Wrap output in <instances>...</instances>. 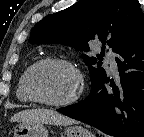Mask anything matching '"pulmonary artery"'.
I'll list each match as a JSON object with an SVG mask.
<instances>
[{
	"mask_svg": "<svg viewBox=\"0 0 144 137\" xmlns=\"http://www.w3.org/2000/svg\"><path fill=\"white\" fill-rule=\"evenodd\" d=\"M106 61H107V63L110 64L112 72L114 74H116L118 72V66H117V63H116V55L111 53V52L108 53L107 56H106Z\"/></svg>",
	"mask_w": 144,
	"mask_h": 137,
	"instance_id": "pulmonary-artery-1",
	"label": "pulmonary artery"
}]
</instances>
